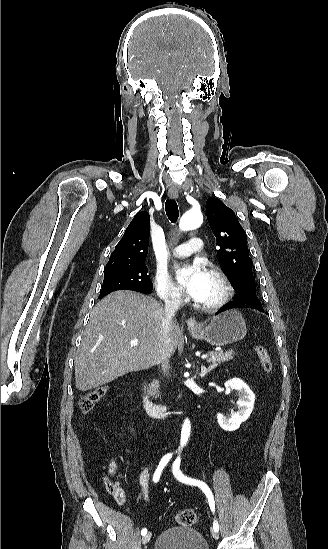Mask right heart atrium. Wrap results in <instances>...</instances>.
<instances>
[{"label":"right heart atrium","instance_id":"right-heart-atrium-1","mask_svg":"<svg viewBox=\"0 0 328 549\" xmlns=\"http://www.w3.org/2000/svg\"><path fill=\"white\" fill-rule=\"evenodd\" d=\"M156 268L154 287L158 297L164 303H183L179 293L172 285L169 275L165 271L159 270V267Z\"/></svg>","mask_w":328,"mask_h":549}]
</instances>
